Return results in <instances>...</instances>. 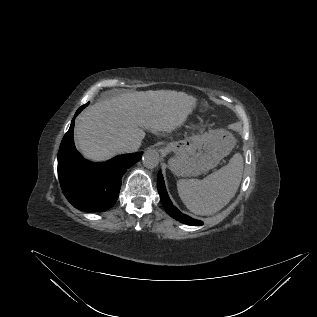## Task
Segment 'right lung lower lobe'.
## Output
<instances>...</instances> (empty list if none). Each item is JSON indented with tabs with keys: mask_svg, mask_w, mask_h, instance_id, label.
<instances>
[{
	"mask_svg": "<svg viewBox=\"0 0 317 317\" xmlns=\"http://www.w3.org/2000/svg\"><path fill=\"white\" fill-rule=\"evenodd\" d=\"M88 104L80 107L75 117ZM75 117L58 152V177L67 200L83 211H106L117 201L121 178L127 168L140 160L142 152L119 155L105 163L85 160L73 140Z\"/></svg>",
	"mask_w": 317,
	"mask_h": 317,
	"instance_id": "obj_1",
	"label": "right lung lower lobe"
}]
</instances>
